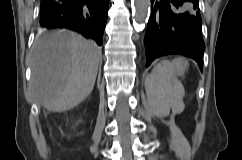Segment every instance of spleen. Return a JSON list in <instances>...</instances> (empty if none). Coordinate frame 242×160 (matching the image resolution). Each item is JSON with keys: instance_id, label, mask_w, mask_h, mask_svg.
Returning <instances> with one entry per match:
<instances>
[{"instance_id": "3e777b00", "label": "spleen", "mask_w": 242, "mask_h": 160, "mask_svg": "<svg viewBox=\"0 0 242 160\" xmlns=\"http://www.w3.org/2000/svg\"><path fill=\"white\" fill-rule=\"evenodd\" d=\"M188 62L182 58L173 61H161L147 79L149 93L157 95L160 107H173L177 101L176 89L180 87L177 75H182Z\"/></svg>"}]
</instances>
